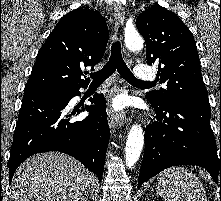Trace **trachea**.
<instances>
[{
	"label": "trachea",
	"mask_w": 221,
	"mask_h": 201,
	"mask_svg": "<svg viewBox=\"0 0 221 201\" xmlns=\"http://www.w3.org/2000/svg\"><path fill=\"white\" fill-rule=\"evenodd\" d=\"M131 84H142V85H152L151 82H144L136 79L130 69L127 67L123 60L121 54V45L117 41L112 44L111 55L108 62L103 66V68L95 73H91L92 83H102L115 71Z\"/></svg>",
	"instance_id": "trachea-1"
}]
</instances>
